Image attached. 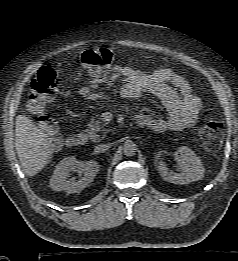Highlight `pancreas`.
Segmentation results:
<instances>
[{"label": "pancreas", "mask_w": 238, "mask_h": 261, "mask_svg": "<svg viewBox=\"0 0 238 261\" xmlns=\"http://www.w3.org/2000/svg\"><path fill=\"white\" fill-rule=\"evenodd\" d=\"M87 126L85 132L94 142H99L103 138V136L99 135L98 132H107V129L105 128L106 123H102L100 118L92 117Z\"/></svg>", "instance_id": "cf45deb5"}]
</instances>
